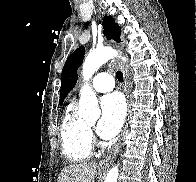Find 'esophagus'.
I'll list each match as a JSON object with an SVG mask.
<instances>
[{"label":"esophagus","instance_id":"34e87169","mask_svg":"<svg viewBox=\"0 0 196 182\" xmlns=\"http://www.w3.org/2000/svg\"><path fill=\"white\" fill-rule=\"evenodd\" d=\"M119 66H120V69H121V71L123 73V76H124V91H125L126 98H127L128 113H127V117H126V120H125V123H124V127L122 129L121 137H120L119 141L112 148L111 152L104 159H102L99 162V166H107V165H109L113 161L114 157L116 156V154L119 151V148L121 146L122 138H123V136H124V134L126 132L127 126H128V119H129L130 105H131L130 104L129 82H128V77H127V72H126V69L124 68L123 64L119 63Z\"/></svg>","mask_w":196,"mask_h":182}]
</instances>
